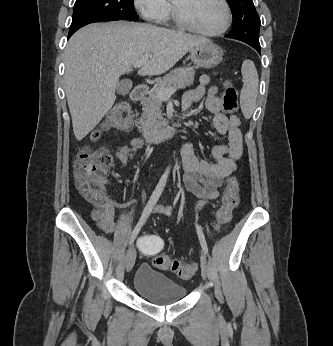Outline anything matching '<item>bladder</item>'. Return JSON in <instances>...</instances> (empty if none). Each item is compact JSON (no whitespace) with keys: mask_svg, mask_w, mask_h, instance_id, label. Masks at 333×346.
I'll return each instance as SVG.
<instances>
[{"mask_svg":"<svg viewBox=\"0 0 333 346\" xmlns=\"http://www.w3.org/2000/svg\"><path fill=\"white\" fill-rule=\"evenodd\" d=\"M133 287L146 301L156 305H168L181 301L186 295V287L167 275L143 263L137 269Z\"/></svg>","mask_w":333,"mask_h":346,"instance_id":"bladder-1","label":"bladder"}]
</instances>
